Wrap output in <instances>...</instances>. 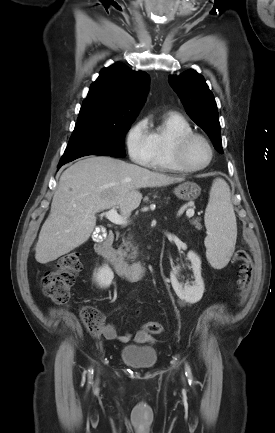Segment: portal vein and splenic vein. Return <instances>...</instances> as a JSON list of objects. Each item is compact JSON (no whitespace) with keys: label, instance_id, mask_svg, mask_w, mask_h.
<instances>
[{"label":"portal vein and splenic vein","instance_id":"18ae733b","mask_svg":"<svg viewBox=\"0 0 275 433\" xmlns=\"http://www.w3.org/2000/svg\"><path fill=\"white\" fill-rule=\"evenodd\" d=\"M194 215V210L192 208L188 209L186 212L187 217H192ZM105 217L112 223L116 225H124L127 224L126 218L120 216L117 213V210L115 208H112L111 210L107 211L105 213Z\"/></svg>","mask_w":275,"mask_h":433}]
</instances>
